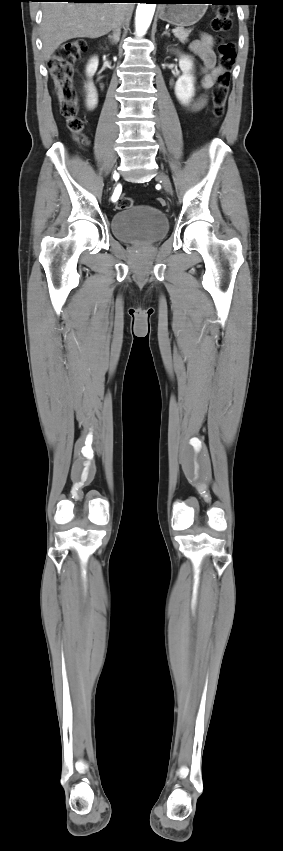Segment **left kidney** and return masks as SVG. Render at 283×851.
I'll return each mask as SVG.
<instances>
[{
    "mask_svg": "<svg viewBox=\"0 0 283 851\" xmlns=\"http://www.w3.org/2000/svg\"><path fill=\"white\" fill-rule=\"evenodd\" d=\"M179 67L182 71V75L176 81L175 95L181 103L187 104L191 101L194 95V76L192 74V59L188 56L181 55L179 58Z\"/></svg>",
    "mask_w": 283,
    "mask_h": 851,
    "instance_id": "5707ae66",
    "label": "left kidney"
}]
</instances>
